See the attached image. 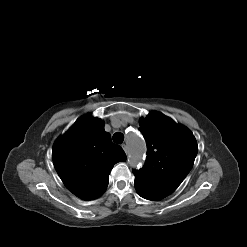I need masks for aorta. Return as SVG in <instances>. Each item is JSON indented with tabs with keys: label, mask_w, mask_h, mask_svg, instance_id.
Wrapping results in <instances>:
<instances>
[{
	"label": "aorta",
	"mask_w": 247,
	"mask_h": 247,
	"mask_svg": "<svg viewBox=\"0 0 247 247\" xmlns=\"http://www.w3.org/2000/svg\"><path fill=\"white\" fill-rule=\"evenodd\" d=\"M127 145L129 151V162L136 166L144 158L146 144L136 131L127 133Z\"/></svg>",
	"instance_id": "762f6f07"
}]
</instances>
